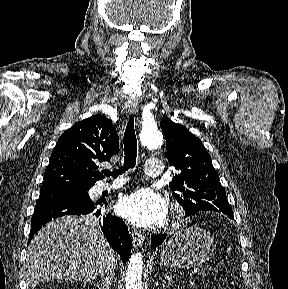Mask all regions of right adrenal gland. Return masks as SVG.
Returning <instances> with one entry per match:
<instances>
[{"label": "right adrenal gland", "instance_id": "1", "mask_svg": "<svg viewBox=\"0 0 288 289\" xmlns=\"http://www.w3.org/2000/svg\"><path fill=\"white\" fill-rule=\"evenodd\" d=\"M91 283H93L98 289H104V287L102 286V284L96 282V281H91ZM107 289H109V287L107 286Z\"/></svg>", "mask_w": 288, "mask_h": 289}]
</instances>
